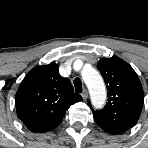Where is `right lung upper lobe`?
<instances>
[{"instance_id":"right-lung-upper-lobe-1","label":"right lung upper lobe","mask_w":148,"mask_h":148,"mask_svg":"<svg viewBox=\"0 0 148 148\" xmlns=\"http://www.w3.org/2000/svg\"><path fill=\"white\" fill-rule=\"evenodd\" d=\"M82 100L68 78H63L54 62L34 67L16 93L18 118L32 132H48L59 125L66 110Z\"/></svg>"}]
</instances>
